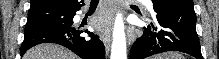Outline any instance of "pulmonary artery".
Listing matches in <instances>:
<instances>
[{
    "mask_svg": "<svg viewBox=\"0 0 219 59\" xmlns=\"http://www.w3.org/2000/svg\"><path fill=\"white\" fill-rule=\"evenodd\" d=\"M147 9L152 10V2L151 1H140Z\"/></svg>",
    "mask_w": 219,
    "mask_h": 59,
    "instance_id": "pulmonary-artery-1",
    "label": "pulmonary artery"
}]
</instances>
